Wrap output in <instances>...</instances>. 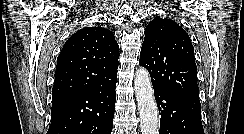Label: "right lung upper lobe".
Masks as SVG:
<instances>
[{"label": "right lung upper lobe", "mask_w": 244, "mask_h": 134, "mask_svg": "<svg viewBox=\"0 0 244 134\" xmlns=\"http://www.w3.org/2000/svg\"><path fill=\"white\" fill-rule=\"evenodd\" d=\"M119 46L114 34L101 26L74 33L57 58L52 95L95 89L117 76Z\"/></svg>", "instance_id": "1"}]
</instances>
